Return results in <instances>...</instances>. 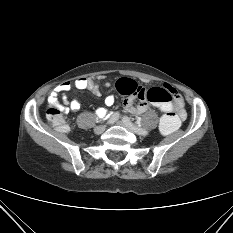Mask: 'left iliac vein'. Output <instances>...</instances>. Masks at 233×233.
Listing matches in <instances>:
<instances>
[{
  "instance_id": "obj_1",
  "label": "left iliac vein",
  "mask_w": 233,
  "mask_h": 233,
  "mask_svg": "<svg viewBox=\"0 0 233 233\" xmlns=\"http://www.w3.org/2000/svg\"><path fill=\"white\" fill-rule=\"evenodd\" d=\"M117 124L124 127V128H126L127 130H129L131 132H134V133L138 134V135L146 136V135H143L141 133H138V132L134 131V129H131V127H128V125H125V121L123 119L120 120V121H117Z\"/></svg>"
}]
</instances>
